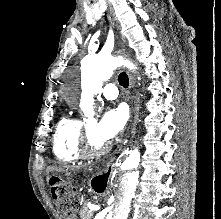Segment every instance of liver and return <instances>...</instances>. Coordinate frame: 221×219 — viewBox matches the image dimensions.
I'll return each instance as SVG.
<instances>
[{"label":"liver","mask_w":221,"mask_h":219,"mask_svg":"<svg viewBox=\"0 0 221 219\" xmlns=\"http://www.w3.org/2000/svg\"><path fill=\"white\" fill-rule=\"evenodd\" d=\"M75 167L73 166H64V167H49L48 168V173L49 172H64L68 170H73ZM48 179V178H47Z\"/></svg>","instance_id":"obj_1"}]
</instances>
